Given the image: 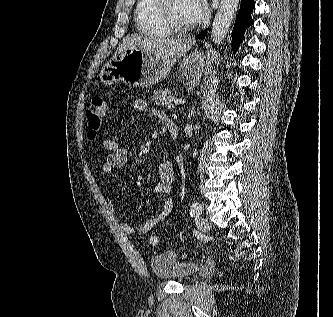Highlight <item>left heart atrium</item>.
I'll return each instance as SVG.
<instances>
[{
  "label": "left heart atrium",
  "instance_id": "1",
  "mask_svg": "<svg viewBox=\"0 0 333 317\" xmlns=\"http://www.w3.org/2000/svg\"><path fill=\"white\" fill-rule=\"evenodd\" d=\"M191 16L194 23H200L207 16V4L205 0H189Z\"/></svg>",
  "mask_w": 333,
  "mask_h": 317
}]
</instances>
